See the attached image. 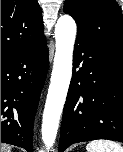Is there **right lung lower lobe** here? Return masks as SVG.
Listing matches in <instances>:
<instances>
[{
	"label": "right lung lower lobe",
	"mask_w": 123,
	"mask_h": 152,
	"mask_svg": "<svg viewBox=\"0 0 123 152\" xmlns=\"http://www.w3.org/2000/svg\"><path fill=\"white\" fill-rule=\"evenodd\" d=\"M45 37L1 55V142L33 152V123L48 70Z\"/></svg>",
	"instance_id": "98d812e1"
}]
</instances>
